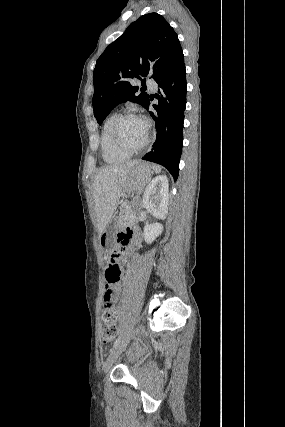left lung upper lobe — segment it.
<instances>
[{"label": "left lung upper lobe", "instance_id": "1", "mask_svg": "<svg viewBox=\"0 0 285 427\" xmlns=\"http://www.w3.org/2000/svg\"><path fill=\"white\" fill-rule=\"evenodd\" d=\"M181 51L177 34L163 16L149 13L132 22L96 62L92 104L97 122L101 124L121 102L132 101L146 108L149 95H138L139 88L130 81L139 75H151L156 81Z\"/></svg>", "mask_w": 285, "mask_h": 427}]
</instances>
